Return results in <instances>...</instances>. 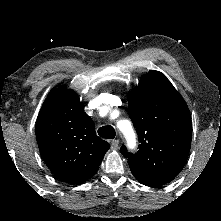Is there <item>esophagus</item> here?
Masks as SVG:
<instances>
[{"mask_svg": "<svg viewBox=\"0 0 221 221\" xmlns=\"http://www.w3.org/2000/svg\"><path fill=\"white\" fill-rule=\"evenodd\" d=\"M119 147V140L114 139L111 141V149L112 150H117Z\"/></svg>", "mask_w": 221, "mask_h": 221, "instance_id": "obj_1", "label": "esophagus"}]
</instances>
